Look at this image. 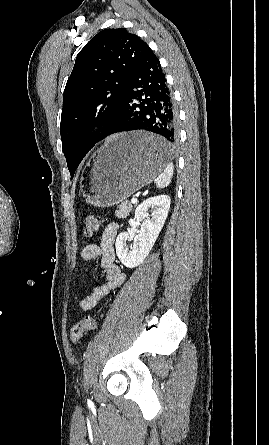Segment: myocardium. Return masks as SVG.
Segmentation results:
<instances>
[{"label": "myocardium", "mask_w": 269, "mask_h": 445, "mask_svg": "<svg viewBox=\"0 0 269 445\" xmlns=\"http://www.w3.org/2000/svg\"><path fill=\"white\" fill-rule=\"evenodd\" d=\"M97 129H98V126L96 124H93L84 130L82 136L87 137V136L93 134L94 132H96Z\"/></svg>", "instance_id": "1"}]
</instances>
